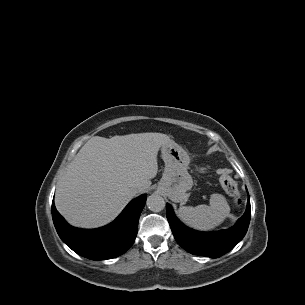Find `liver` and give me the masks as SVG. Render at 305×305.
I'll list each match as a JSON object with an SVG mask.
<instances>
[{
  "label": "liver",
  "instance_id": "6515ba94",
  "mask_svg": "<svg viewBox=\"0 0 305 305\" xmlns=\"http://www.w3.org/2000/svg\"><path fill=\"white\" fill-rule=\"evenodd\" d=\"M171 141L162 133L92 137L58 182L57 210L77 227L111 222L137 193L149 188L158 171V151Z\"/></svg>",
  "mask_w": 305,
  "mask_h": 305
}]
</instances>
